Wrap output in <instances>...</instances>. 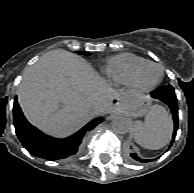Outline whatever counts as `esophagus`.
I'll return each mask as SVG.
<instances>
[{
  "label": "esophagus",
  "instance_id": "1",
  "mask_svg": "<svg viewBox=\"0 0 194 193\" xmlns=\"http://www.w3.org/2000/svg\"><path fill=\"white\" fill-rule=\"evenodd\" d=\"M116 103H118V98H114V99L112 100V104H113V105H115Z\"/></svg>",
  "mask_w": 194,
  "mask_h": 193
}]
</instances>
